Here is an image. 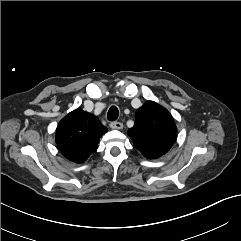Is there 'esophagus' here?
Returning a JSON list of instances; mask_svg holds the SVG:
<instances>
[{
	"instance_id": "34e87169",
	"label": "esophagus",
	"mask_w": 241,
	"mask_h": 241,
	"mask_svg": "<svg viewBox=\"0 0 241 241\" xmlns=\"http://www.w3.org/2000/svg\"><path fill=\"white\" fill-rule=\"evenodd\" d=\"M110 127L112 129H122L123 128V124L121 122L114 121V122L110 123Z\"/></svg>"
}]
</instances>
